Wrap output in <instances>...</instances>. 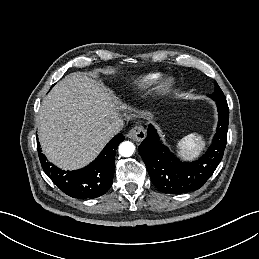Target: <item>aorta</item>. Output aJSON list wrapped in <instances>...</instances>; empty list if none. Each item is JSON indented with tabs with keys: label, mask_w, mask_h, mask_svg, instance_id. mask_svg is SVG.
I'll return each instance as SVG.
<instances>
[{
	"label": "aorta",
	"mask_w": 259,
	"mask_h": 259,
	"mask_svg": "<svg viewBox=\"0 0 259 259\" xmlns=\"http://www.w3.org/2000/svg\"><path fill=\"white\" fill-rule=\"evenodd\" d=\"M135 151V146L132 142L124 141L119 145V154L123 157H130Z\"/></svg>",
	"instance_id": "aorta-1"
}]
</instances>
